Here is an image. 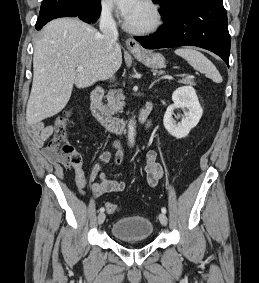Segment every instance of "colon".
Here are the masks:
<instances>
[{"label":"colon","instance_id":"5ec220e1","mask_svg":"<svg viewBox=\"0 0 259 283\" xmlns=\"http://www.w3.org/2000/svg\"><path fill=\"white\" fill-rule=\"evenodd\" d=\"M72 113V108H67L55 118L53 135L44 149L47 159L67 167L75 166L82 160L80 153L68 141ZM105 209L107 213L113 214L118 211V206L115 203L108 202L105 204Z\"/></svg>","mask_w":259,"mask_h":283}]
</instances>
